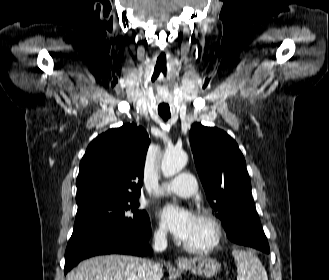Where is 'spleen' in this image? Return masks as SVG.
<instances>
[{
  "label": "spleen",
  "mask_w": 329,
  "mask_h": 280,
  "mask_svg": "<svg viewBox=\"0 0 329 280\" xmlns=\"http://www.w3.org/2000/svg\"><path fill=\"white\" fill-rule=\"evenodd\" d=\"M232 255L237 265V280H268L261 261L249 252L233 250Z\"/></svg>",
  "instance_id": "spleen-1"
}]
</instances>
